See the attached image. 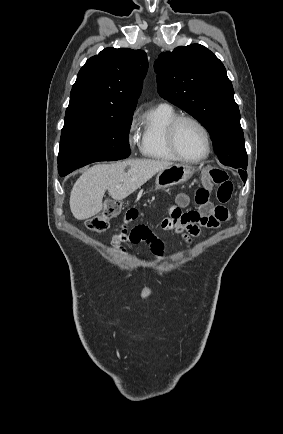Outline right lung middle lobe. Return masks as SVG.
Instances as JSON below:
<instances>
[{"instance_id":"1","label":"right lung middle lobe","mask_w":283,"mask_h":434,"mask_svg":"<svg viewBox=\"0 0 283 434\" xmlns=\"http://www.w3.org/2000/svg\"><path fill=\"white\" fill-rule=\"evenodd\" d=\"M132 116L65 119L58 155L60 176L92 162L127 158L130 155L128 134Z\"/></svg>"}]
</instances>
